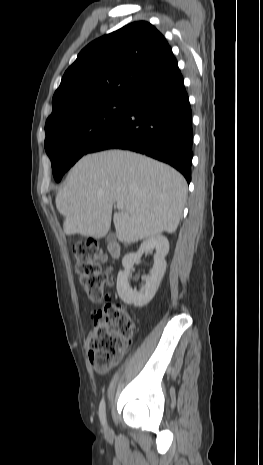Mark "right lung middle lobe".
I'll return each instance as SVG.
<instances>
[{
    "label": "right lung middle lobe",
    "mask_w": 263,
    "mask_h": 465,
    "mask_svg": "<svg viewBox=\"0 0 263 465\" xmlns=\"http://www.w3.org/2000/svg\"><path fill=\"white\" fill-rule=\"evenodd\" d=\"M129 104L130 98L98 100L46 122L44 145L57 182L124 118Z\"/></svg>",
    "instance_id": "obj_1"
}]
</instances>
